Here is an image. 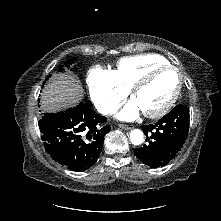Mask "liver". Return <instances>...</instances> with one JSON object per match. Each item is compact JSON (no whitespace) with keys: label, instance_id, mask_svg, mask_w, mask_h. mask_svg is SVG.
Masks as SVG:
<instances>
[{"label":"liver","instance_id":"liver-1","mask_svg":"<svg viewBox=\"0 0 221 221\" xmlns=\"http://www.w3.org/2000/svg\"><path fill=\"white\" fill-rule=\"evenodd\" d=\"M82 86L73 76L62 74L55 76L42 94V108L55 112L75 105L82 98Z\"/></svg>","mask_w":221,"mask_h":221}]
</instances>
